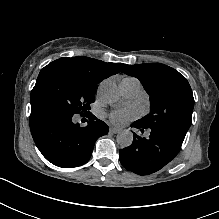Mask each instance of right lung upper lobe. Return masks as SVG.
<instances>
[{"instance_id":"1","label":"right lung upper lobe","mask_w":219,"mask_h":219,"mask_svg":"<svg viewBox=\"0 0 219 219\" xmlns=\"http://www.w3.org/2000/svg\"><path fill=\"white\" fill-rule=\"evenodd\" d=\"M51 63H61L76 69L85 74L88 79L96 84L100 83L103 79L108 78L111 75L117 74L125 66V64L121 63H106L84 56L72 58L62 57Z\"/></svg>"}]
</instances>
